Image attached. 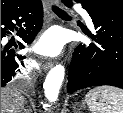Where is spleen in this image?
I'll return each mask as SVG.
<instances>
[{
  "mask_svg": "<svg viewBox=\"0 0 123 113\" xmlns=\"http://www.w3.org/2000/svg\"><path fill=\"white\" fill-rule=\"evenodd\" d=\"M91 113H123V90L101 86L89 91L85 97Z\"/></svg>",
  "mask_w": 123,
  "mask_h": 113,
  "instance_id": "3e777b00",
  "label": "spleen"
}]
</instances>
